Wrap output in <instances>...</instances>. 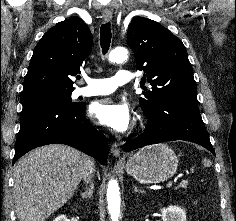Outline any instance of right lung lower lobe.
<instances>
[{
	"label": "right lung lower lobe",
	"instance_id": "right-lung-lower-lobe-1",
	"mask_svg": "<svg viewBox=\"0 0 236 221\" xmlns=\"http://www.w3.org/2000/svg\"><path fill=\"white\" fill-rule=\"evenodd\" d=\"M84 110V103L71 106L42 102L23 106L12 164L36 147L59 143L75 147L105 165L107 139L85 119Z\"/></svg>",
	"mask_w": 236,
	"mask_h": 221
}]
</instances>
